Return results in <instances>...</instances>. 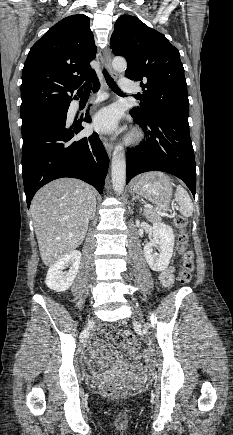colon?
<instances>
[{"label":"colon","instance_id":"colon-1","mask_svg":"<svg viewBox=\"0 0 233 435\" xmlns=\"http://www.w3.org/2000/svg\"><path fill=\"white\" fill-rule=\"evenodd\" d=\"M174 225L177 231V239L179 242L178 249V263L180 266V271L178 273L180 281L183 284H188L191 280V272L193 270V253L188 245V232H187V219L181 215H178L174 218ZM99 333L109 337L112 341L121 345L128 341L135 348H139V345L136 343L135 339L132 335L126 331H117L111 325H101L99 327ZM100 390L102 394L108 397L114 398H122L127 394L126 388L122 385L112 382H103L100 385Z\"/></svg>","mask_w":233,"mask_h":435}]
</instances>
